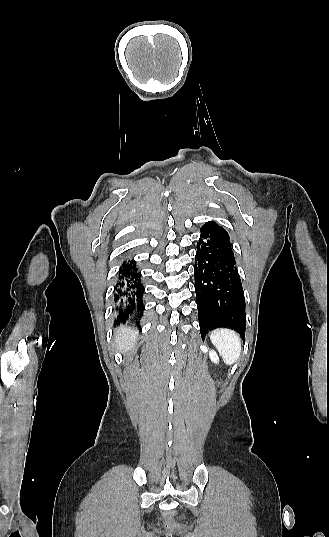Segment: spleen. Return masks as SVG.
<instances>
[{
	"instance_id": "1",
	"label": "spleen",
	"mask_w": 329,
	"mask_h": 537,
	"mask_svg": "<svg viewBox=\"0 0 329 537\" xmlns=\"http://www.w3.org/2000/svg\"><path fill=\"white\" fill-rule=\"evenodd\" d=\"M210 339L226 364L232 365L241 354V341L238 334L230 329H216Z\"/></svg>"
}]
</instances>
